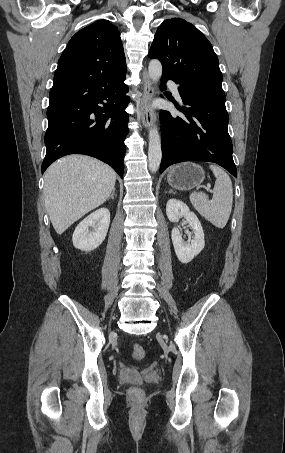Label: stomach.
Instances as JSON below:
<instances>
[{
    "label": "stomach",
    "mask_w": 285,
    "mask_h": 453,
    "mask_svg": "<svg viewBox=\"0 0 285 453\" xmlns=\"http://www.w3.org/2000/svg\"><path fill=\"white\" fill-rule=\"evenodd\" d=\"M205 178L203 168L193 162L173 166L167 175L168 184L177 190H190L199 186Z\"/></svg>",
    "instance_id": "1"
}]
</instances>
